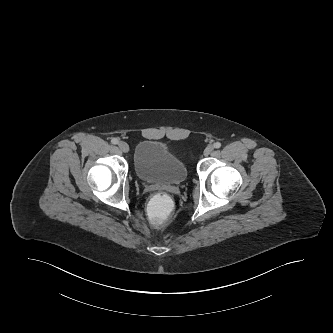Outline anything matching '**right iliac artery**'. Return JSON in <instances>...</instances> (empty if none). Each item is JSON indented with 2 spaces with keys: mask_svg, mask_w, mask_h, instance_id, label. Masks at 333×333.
I'll list each match as a JSON object with an SVG mask.
<instances>
[{
  "mask_svg": "<svg viewBox=\"0 0 333 333\" xmlns=\"http://www.w3.org/2000/svg\"><path fill=\"white\" fill-rule=\"evenodd\" d=\"M118 142H119V141H118V139H116V138H113V139L111 140V143H112V144H118Z\"/></svg>",
  "mask_w": 333,
  "mask_h": 333,
  "instance_id": "82829eb1",
  "label": "right iliac artery"
}]
</instances>
